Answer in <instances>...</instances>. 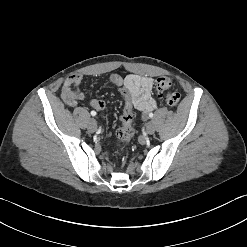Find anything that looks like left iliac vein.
I'll return each mask as SVG.
<instances>
[{"instance_id": "4c4485c4", "label": "left iliac vein", "mask_w": 247, "mask_h": 247, "mask_svg": "<svg viewBox=\"0 0 247 247\" xmlns=\"http://www.w3.org/2000/svg\"><path fill=\"white\" fill-rule=\"evenodd\" d=\"M146 131L148 134H153L155 132V124L153 122H148L146 124Z\"/></svg>"}]
</instances>
